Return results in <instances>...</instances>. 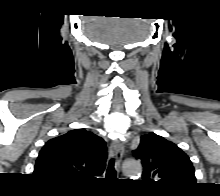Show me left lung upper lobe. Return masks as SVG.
<instances>
[{
	"label": "left lung upper lobe",
	"instance_id": "obj_1",
	"mask_svg": "<svg viewBox=\"0 0 220 196\" xmlns=\"http://www.w3.org/2000/svg\"><path fill=\"white\" fill-rule=\"evenodd\" d=\"M133 155L142 161L143 181L163 193H180L195 184L189 157L172 142L155 133L141 137Z\"/></svg>",
	"mask_w": 220,
	"mask_h": 196
}]
</instances>
